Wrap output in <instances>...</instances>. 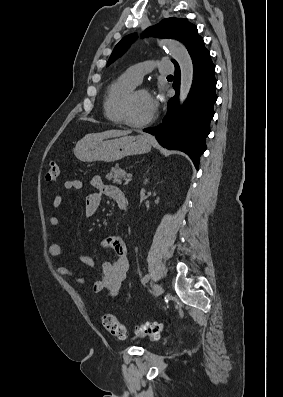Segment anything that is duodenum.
<instances>
[{"label": "duodenum", "mask_w": 283, "mask_h": 397, "mask_svg": "<svg viewBox=\"0 0 283 397\" xmlns=\"http://www.w3.org/2000/svg\"><path fill=\"white\" fill-rule=\"evenodd\" d=\"M126 207H127V205H124L122 208H123V209H126Z\"/></svg>", "instance_id": "duodenum-1"}]
</instances>
